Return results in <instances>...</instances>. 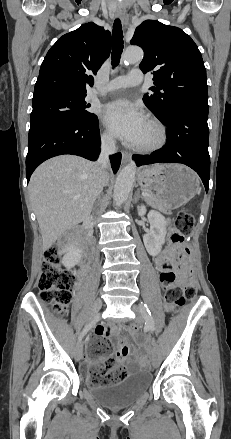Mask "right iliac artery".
<instances>
[{
  "label": "right iliac artery",
  "mask_w": 231,
  "mask_h": 439,
  "mask_svg": "<svg viewBox=\"0 0 231 439\" xmlns=\"http://www.w3.org/2000/svg\"><path fill=\"white\" fill-rule=\"evenodd\" d=\"M97 321H92L91 323H89L84 330L81 332L80 336H79V341L82 340V338L86 335V333L95 325Z\"/></svg>",
  "instance_id": "1"
}]
</instances>
